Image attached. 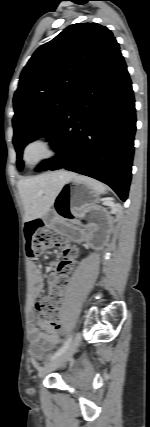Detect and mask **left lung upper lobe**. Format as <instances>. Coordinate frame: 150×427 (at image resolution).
Returning <instances> with one entry per match:
<instances>
[{"label":"left lung upper lobe","mask_w":150,"mask_h":427,"mask_svg":"<svg viewBox=\"0 0 150 427\" xmlns=\"http://www.w3.org/2000/svg\"><path fill=\"white\" fill-rule=\"evenodd\" d=\"M118 50L107 27L76 23L35 51L13 98V144L20 170L23 148L55 131L87 81Z\"/></svg>","instance_id":"left-lung-upper-lobe-1"}]
</instances>
